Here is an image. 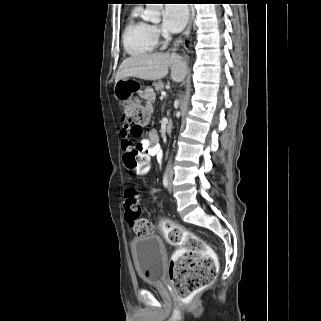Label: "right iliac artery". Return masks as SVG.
Listing matches in <instances>:
<instances>
[{
  "mask_svg": "<svg viewBox=\"0 0 321 321\" xmlns=\"http://www.w3.org/2000/svg\"><path fill=\"white\" fill-rule=\"evenodd\" d=\"M163 185L165 188L168 187V178L166 173L164 174V177H163Z\"/></svg>",
  "mask_w": 321,
  "mask_h": 321,
  "instance_id": "obj_1",
  "label": "right iliac artery"
}]
</instances>
